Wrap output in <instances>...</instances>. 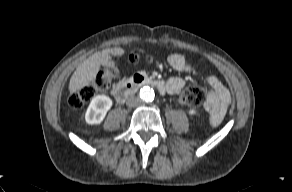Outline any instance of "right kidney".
<instances>
[{
    "label": "right kidney",
    "mask_w": 292,
    "mask_h": 192,
    "mask_svg": "<svg viewBox=\"0 0 292 192\" xmlns=\"http://www.w3.org/2000/svg\"><path fill=\"white\" fill-rule=\"evenodd\" d=\"M112 106V100L106 95L94 97L85 114V121L89 125L100 124Z\"/></svg>",
    "instance_id": "right-kidney-1"
}]
</instances>
